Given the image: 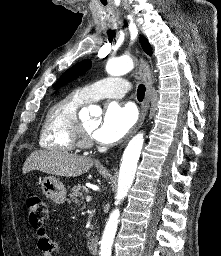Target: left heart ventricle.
Returning a JSON list of instances; mask_svg holds the SVG:
<instances>
[{
	"label": "left heart ventricle",
	"mask_w": 221,
	"mask_h": 256,
	"mask_svg": "<svg viewBox=\"0 0 221 256\" xmlns=\"http://www.w3.org/2000/svg\"><path fill=\"white\" fill-rule=\"evenodd\" d=\"M83 125L85 127V129L88 131V132H92L94 130V128L96 127V123L93 122V121H86V122H83Z\"/></svg>",
	"instance_id": "obj_1"
}]
</instances>
